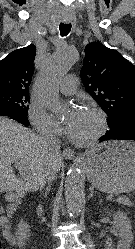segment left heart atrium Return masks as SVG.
Returning <instances> with one entry per match:
<instances>
[{
  "label": "left heart atrium",
  "instance_id": "1",
  "mask_svg": "<svg viewBox=\"0 0 135 249\" xmlns=\"http://www.w3.org/2000/svg\"><path fill=\"white\" fill-rule=\"evenodd\" d=\"M81 115H82V110L74 109V110H72L69 117L67 118V120L65 122V128L70 134L76 128V126L81 118Z\"/></svg>",
  "mask_w": 135,
  "mask_h": 249
}]
</instances>
